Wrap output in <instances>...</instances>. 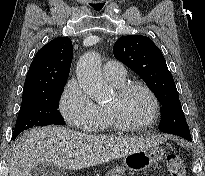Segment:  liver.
Here are the masks:
<instances>
[{
    "label": "liver",
    "instance_id": "1",
    "mask_svg": "<svg viewBox=\"0 0 205 176\" xmlns=\"http://www.w3.org/2000/svg\"><path fill=\"white\" fill-rule=\"evenodd\" d=\"M163 138H120L80 133L65 127L35 128L20 136L12 149L9 176H30L39 163L55 164L77 170L96 166L140 151L156 147ZM74 154L72 160L65 155Z\"/></svg>",
    "mask_w": 205,
    "mask_h": 176
}]
</instances>
